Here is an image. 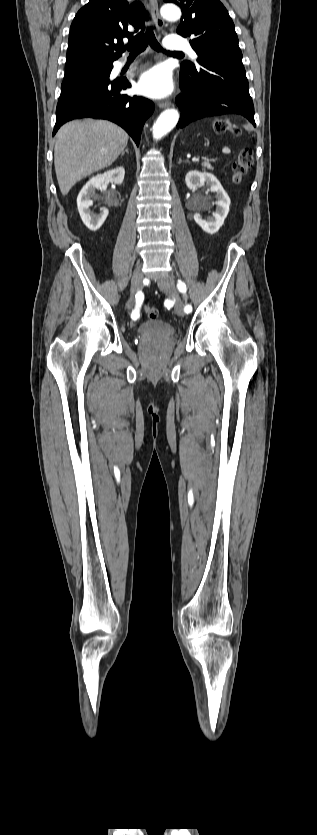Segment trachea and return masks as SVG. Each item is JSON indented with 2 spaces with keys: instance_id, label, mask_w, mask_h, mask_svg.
I'll return each instance as SVG.
<instances>
[{
  "instance_id": "obj_1",
  "label": "trachea",
  "mask_w": 317,
  "mask_h": 835,
  "mask_svg": "<svg viewBox=\"0 0 317 835\" xmlns=\"http://www.w3.org/2000/svg\"><path fill=\"white\" fill-rule=\"evenodd\" d=\"M148 45H150L151 48H153L155 51H158V52L163 51L164 53L173 54V55H182L183 54L181 52H170V51L163 50L161 45L158 43V41L155 37V34L152 30H148L144 35H142L140 37V39L137 42L132 43L129 46H126V49L130 52V56H137L138 54L143 52Z\"/></svg>"
}]
</instances>
